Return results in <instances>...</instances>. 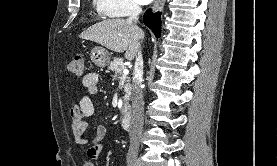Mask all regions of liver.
Returning <instances> with one entry per match:
<instances>
[{
    "label": "liver",
    "instance_id": "obj_1",
    "mask_svg": "<svg viewBox=\"0 0 277 166\" xmlns=\"http://www.w3.org/2000/svg\"><path fill=\"white\" fill-rule=\"evenodd\" d=\"M80 38L98 43L107 49L123 53L125 58L132 60L136 56L144 32L125 19H106L83 31Z\"/></svg>",
    "mask_w": 277,
    "mask_h": 166
}]
</instances>
